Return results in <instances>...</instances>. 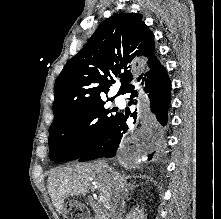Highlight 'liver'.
Wrapping results in <instances>:
<instances>
[{"label": "liver", "instance_id": "liver-1", "mask_svg": "<svg viewBox=\"0 0 221 219\" xmlns=\"http://www.w3.org/2000/svg\"><path fill=\"white\" fill-rule=\"evenodd\" d=\"M92 186L98 190L99 200L111 212L118 196L126 194L130 184L118 171L103 168L101 161L56 169L47 180L49 195L59 214L63 213L66 198L85 195Z\"/></svg>", "mask_w": 221, "mask_h": 219}]
</instances>
